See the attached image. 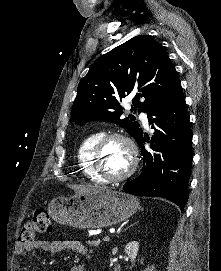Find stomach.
I'll return each mask as SVG.
<instances>
[{
  "label": "stomach",
  "instance_id": "stomach-1",
  "mask_svg": "<svg viewBox=\"0 0 221 271\" xmlns=\"http://www.w3.org/2000/svg\"><path fill=\"white\" fill-rule=\"evenodd\" d=\"M138 207L137 197L120 189H95L77 197H53V202H49L55 221L78 229L120 223L136 213Z\"/></svg>",
  "mask_w": 221,
  "mask_h": 271
}]
</instances>
